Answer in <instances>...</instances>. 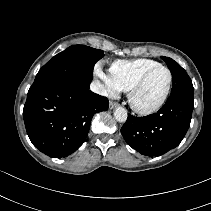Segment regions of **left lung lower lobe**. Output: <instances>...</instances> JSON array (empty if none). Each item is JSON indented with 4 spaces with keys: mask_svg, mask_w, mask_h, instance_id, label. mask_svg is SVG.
I'll return each instance as SVG.
<instances>
[{
    "mask_svg": "<svg viewBox=\"0 0 211 211\" xmlns=\"http://www.w3.org/2000/svg\"><path fill=\"white\" fill-rule=\"evenodd\" d=\"M194 95L172 94L165 105L146 117L128 114L121 133L127 144L146 156H156L177 147L191 121Z\"/></svg>",
    "mask_w": 211,
    "mask_h": 211,
    "instance_id": "left-lung-lower-lobe-1",
    "label": "left lung lower lobe"
}]
</instances>
